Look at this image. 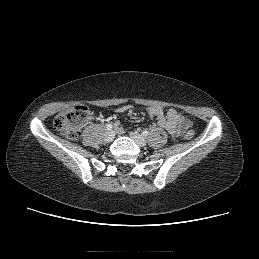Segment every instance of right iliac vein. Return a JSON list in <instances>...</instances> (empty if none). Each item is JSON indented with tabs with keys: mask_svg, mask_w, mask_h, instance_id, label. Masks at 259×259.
<instances>
[{
	"mask_svg": "<svg viewBox=\"0 0 259 259\" xmlns=\"http://www.w3.org/2000/svg\"><path fill=\"white\" fill-rule=\"evenodd\" d=\"M114 132L113 131H111V130H108V131H106L105 133H104V140H105V142H107V143H110V142H112L113 141V139H114Z\"/></svg>",
	"mask_w": 259,
	"mask_h": 259,
	"instance_id": "63e3f726",
	"label": "right iliac vein"
}]
</instances>
